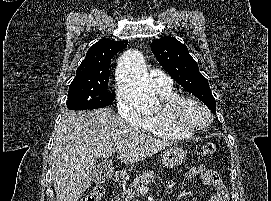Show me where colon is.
I'll list each match as a JSON object with an SVG mask.
<instances>
[{
	"label": "colon",
	"instance_id": "5ec220e1",
	"mask_svg": "<svg viewBox=\"0 0 271 201\" xmlns=\"http://www.w3.org/2000/svg\"><path fill=\"white\" fill-rule=\"evenodd\" d=\"M216 152V146L212 142H207L199 145L198 153L202 157L212 156ZM104 187L103 186H95L86 196L82 198L81 201H101L104 195Z\"/></svg>",
	"mask_w": 271,
	"mask_h": 201
}]
</instances>
